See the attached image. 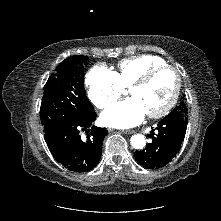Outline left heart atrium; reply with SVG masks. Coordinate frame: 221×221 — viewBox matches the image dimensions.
<instances>
[{"label":"left heart atrium","instance_id":"left-heart-atrium-1","mask_svg":"<svg viewBox=\"0 0 221 221\" xmlns=\"http://www.w3.org/2000/svg\"><path fill=\"white\" fill-rule=\"evenodd\" d=\"M145 115L142 103L136 97H131L110 105L102 113L101 120L106 126L123 129L139 124Z\"/></svg>","mask_w":221,"mask_h":221}]
</instances>
